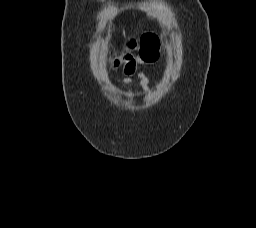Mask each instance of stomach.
I'll list each match as a JSON object with an SVG mask.
<instances>
[{"label":"stomach","instance_id":"0dacf381","mask_svg":"<svg viewBox=\"0 0 256 228\" xmlns=\"http://www.w3.org/2000/svg\"><path fill=\"white\" fill-rule=\"evenodd\" d=\"M146 17H147V19H149V20L154 19V15H153V13H151V12H148V13L146 14Z\"/></svg>","mask_w":256,"mask_h":228}]
</instances>
